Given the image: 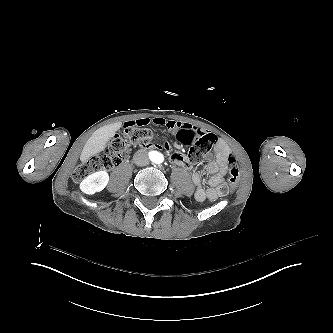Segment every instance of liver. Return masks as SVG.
Returning a JSON list of instances; mask_svg holds the SVG:
<instances>
[{
    "instance_id": "liver-1",
    "label": "liver",
    "mask_w": 333,
    "mask_h": 333,
    "mask_svg": "<svg viewBox=\"0 0 333 333\" xmlns=\"http://www.w3.org/2000/svg\"><path fill=\"white\" fill-rule=\"evenodd\" d=\"M122 122L108 124L97 129L87 140L80 155L81 162H86L90 157L105 149L106 143L114 137Z\"/></svg>"
}]
</instances>
